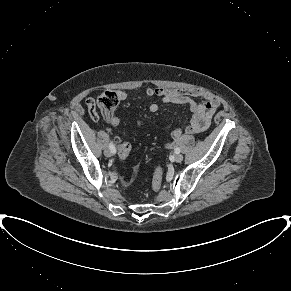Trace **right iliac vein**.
Returning a JSON list of instances; mask_svg holds the SVG:
<instances>
[{"label": "right iliac vein", "mask_w": 291, "mask_h": 291, "mask_svg": "<svg viewBox=\"0 0 291 291\" xmlns=\"http://www.w3.org/2000/svg\"><path fill=\"white\" fill-rule=\"evenodd\" d=\"M104 154L107 157H111L113 155V152L110 150V148H107L105 149Z\"/></svg>", "instance_id": "right-iliac-vein-1"}]
</instances>
